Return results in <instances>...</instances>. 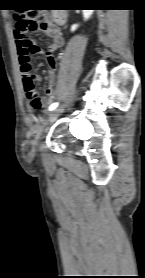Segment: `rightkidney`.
Listing matches in <instances>:
<instances>
[{
  "label": "right kidney",
  "mask_w": 145,
  "mask_h": 278,
  "mask_svg": "<svg viewBox=\"0 0 145 278\" xmlns=\"http://www.w3.org/2000/svg\"><path fill=\"white\" fill-rule=\"evenodd\" d=\"M94 10H83V17L85 20L89 19L92 15ZM78 25L74 24L71 26V31H75L77 29Z\"/></svg>",
  "instance_id": "ca27d5eb"
}]
</instances>
